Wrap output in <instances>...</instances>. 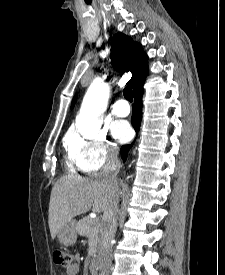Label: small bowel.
Here are the masks:
<instances>
[{
  "label": "small bowel",
  "mask_w": 225,
  "mask_h": 275,
  "mask_svg": "<svg viewBox=\"0 0 225 275\" xmlns=\"http://www.w3.org/2000/svg\"><path fill=\"white\" fill-rule=\"evenodd\" d=\"M78 260L79 256L76 255L75 262H73L71 266L67 267L65 272L61 273L60 275H78L80 271Z\"/></svg>",
  "instance_id": "obj_1"
}]
</instances>
